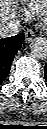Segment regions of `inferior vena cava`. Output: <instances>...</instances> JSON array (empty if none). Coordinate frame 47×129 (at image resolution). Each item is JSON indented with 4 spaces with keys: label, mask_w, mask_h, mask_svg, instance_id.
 I'll return each instance as SVG.
<instances>
[{
    "label": "inferior vena cava",
    "mask_w": 47,
    "mask_h": 129,
    "mask_svg": "<svg viewBox=\"0 0 47 129\" xmlns=\"http://www.w3.org/2000/svg\"><path fill=\"white\" fill-rule=\"evenodd\" d=\"M20 21L17 19L9 20L8 22L1 24L0 36L2 38L17 35L20 31Z\"/></svg>",
    "instance_id": "602c4592"
}]
</instances>
